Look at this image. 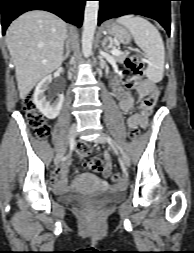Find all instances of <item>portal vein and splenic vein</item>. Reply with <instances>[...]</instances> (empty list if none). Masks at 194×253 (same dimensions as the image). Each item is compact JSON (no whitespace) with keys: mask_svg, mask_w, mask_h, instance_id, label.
I'll return each instance as SVG.
<instances>
[{"mask_svg":"<svg viewBox=\"0 0 194 253\" xmlns=\"http://www.w3.org/2000/svg\"><path fill=\"white\" fill-rule=\"evenodd\" d=\"M135 51H138V50H135ZM111 54L112 55H120L121 52H120V50L114 48V49L111 50Z\"/></svg>","mask_w":194,"mask_h":253,"instance_id":"portal-vein-and-splenic-vein-1","label":"portal vein and splenic vein"}]
</instances>
